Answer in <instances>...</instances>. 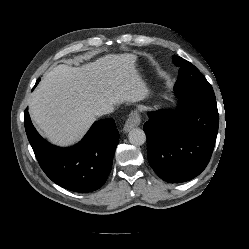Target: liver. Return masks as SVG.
I'll list each match as a JSON object with an SVG mask.
<instances>
[{
    "mask_svg": "<svg viewBox=\"0 0 249 249\" xmlns=\"http://www.w3.org/2000/svg\"><path fill=\"white\" fill-rule=\"evenodd\" d=\"M136 60L133 54H109L81 67H54L29 98L32 121L52 143H76L103 106L135 102L147 95Z\"/></svg>",
    "mask_w": 249,
    "mask_h": 249,
    "instance_id": "liver-1",
    "label": "liver"
}]
</instances>
